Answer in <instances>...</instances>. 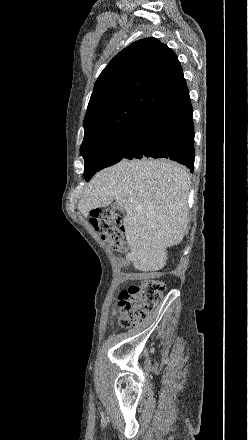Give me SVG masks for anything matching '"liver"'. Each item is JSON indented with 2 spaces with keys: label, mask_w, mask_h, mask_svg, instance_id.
Here are the masks:
<instances>
[{
  "label": "liver",
  "mask_w": 248,
  "mask_h": 440,
  "mask_svg": "<svg viewBox=\"0 0 248 440\" xmlns=\"http://www.w3.org/2000/svg\"><path fill=\"white\" fill-rule=\"evenodd\" d=\"M190 183L188 170L170 160H122L91 179L78 209L87 217L115 199L126 212L127 258L136 269L154 272L185 235Z\"/></svg>",
  "instance_id": "liver-1"
}]
</instances>
